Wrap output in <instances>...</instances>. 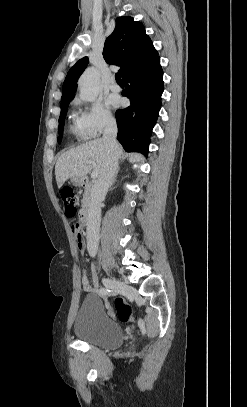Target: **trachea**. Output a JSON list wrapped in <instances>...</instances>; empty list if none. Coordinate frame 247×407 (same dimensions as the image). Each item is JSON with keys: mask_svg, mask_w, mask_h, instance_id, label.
Here are the masks:
<instances>
[{"mask_svg": "<svg viewBox=\"0 0 247 407\" xmlns=\"http://www.w3.org/2000/svg\"><path fill=\"white\" fill-rule=\"evenodd\" d=\"M115 79L117 82H122L120 73L115 74Z\"/></svg>", "mask_w": 247, "mask_h": 407, "instance_id": "3493384b", "label": "trachea"}]
</instances>
